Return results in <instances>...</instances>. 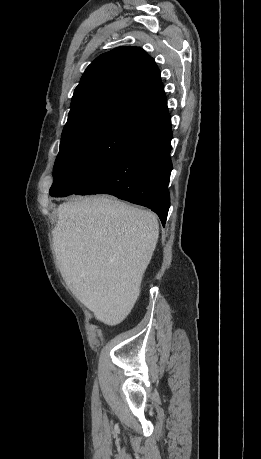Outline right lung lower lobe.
Returning a JSON list of instances; mask_svg holds the SVG:
<instances>
[{
	"mask_svg": "<svg viewBox=\"0 0 261 459\" xmlns=\"http://www.w3.org/2000/svg\"><path fill=\"white\" fill-rule=\"evenodd\" d=\"M172 132L170 116L155 124L135 145L73 194H111L157 213L165 225Z\"/></svg>",
	"mask_w": 261,
	"mask_h": 459,
	"instance_id": "1",
	"label": "right lung lower lobe"
}]
</instances>
